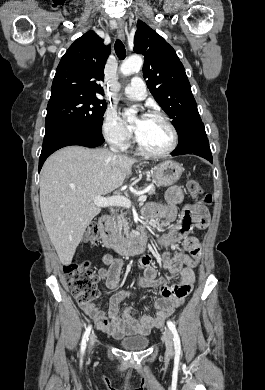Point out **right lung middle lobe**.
<instances>
[{"label": "right lung middle lobe", "instance_id": "right-lung-middle-lobe-1", "mask_svg": "<svg viewBox=\"0 0 265 390\" xmlns=\"http://www.w3.org/2000/svg\"><path fill=\"white\" fill-rule=\"evenodd\" d=\"M107 105L95 96L71 95L49 100L46 122L52 120L72 121L90 129L101 131L102 119Z\"/></svg>", "mask_w": 265, "mask_h": 390}]
</instances>
